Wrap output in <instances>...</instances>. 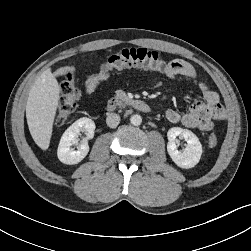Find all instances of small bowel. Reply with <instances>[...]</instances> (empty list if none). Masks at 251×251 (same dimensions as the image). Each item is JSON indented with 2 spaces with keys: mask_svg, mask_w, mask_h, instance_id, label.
Returning <instances> with one entry per match:
<instances>
[{
  "mask_svg": "<svg viewBox=\"0 0 251 251\" xmlns=\"http://www.w3.org/2000/svg\"><path fill=\"white\" fill-rule=\"evenodd\" d=\"M68 69H72V67L62 68L58 75H64ZM164 74L170 79L183 77L191 81L203 96V99L194 101L188 111L183 114L174 109L167 110L165 116L169 122H181L187 128L208 132L213 128L214 121L225 117L218 94L200 80L195 68L189 62L182 59L172 60ZM106 77L107 73L105 72L92 75L85 83L84 92L86 94L92 93Z\"/></svg>",
  "mask_w": 251,
  "mask_h": 251,
  "instance_id": "small-bowel-1",
  "label": "small bowel"
}]
</instances>
